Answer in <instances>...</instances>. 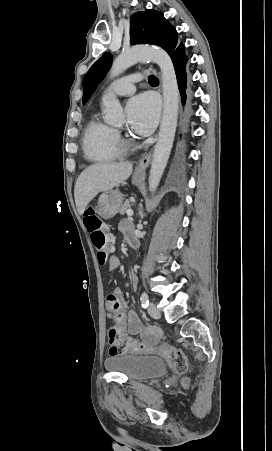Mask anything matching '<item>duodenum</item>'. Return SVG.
Returning a JSON list of instances; mask_svg holds the SVG:
<instances>
[{
	"label": "duodenum",
	"instance_id": "1",
	"mask_svg": "<svg viewBox=\"0 0 272 451\" xmlns=\"http://www.w3.org/2000/svg\"><path fill=\"white\" fill-rule=\"evenodd\" d=\"M128 242H129V244H130V246H131L132 248H138V247H139V240L137 239L136 236L131 237V238L128 240Z\"/></svg>",
	"mask_w": 272,
	"mask_h": 451
}]
</instances>
